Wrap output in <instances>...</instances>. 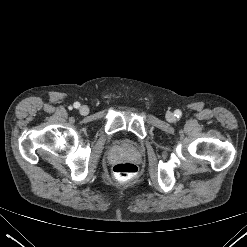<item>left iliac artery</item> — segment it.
Returning <instances> with one entry per match:
<instances>
[{"instance_id": "obj_1", "label": "left iliac artery", "mask_w": 247, "mask_h": 247, "mask_svg": "<svg viewBox=\"0 0 247 247\" xmlns=\"http://www.w3.org/2000/svg\"><path fill=\"white\" fill-rule=\"evenodd\" d=\"M181 115H182V112H181L180 110H176V111H175V116H176V117L179 118V117H181Z\"/></svg>"}]
</instances>
